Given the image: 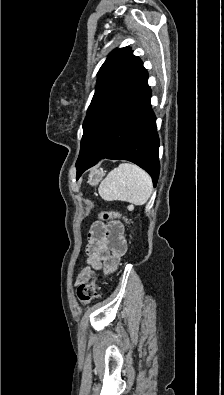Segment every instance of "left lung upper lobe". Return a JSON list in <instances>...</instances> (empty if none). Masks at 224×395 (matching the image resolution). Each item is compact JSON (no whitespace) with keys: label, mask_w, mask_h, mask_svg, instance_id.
<instances>
[{"label":"left lung upper lobe","mask_w":224,"mask_h":395,"mask_svg":"<svg viewBox=\"0 0 224 395\" xmlns=\"http://www.w3.org/2000/svg\"><path fill=\"white\" fill-rule=\"evenodd\" d=\"M142 61L124 47L110 53L98 72L95 94L83 123L81 156L98 113L143 70ZM78 157V158H79Z\"/></svg>","instance_id":"obj_1"}]
</instances>
